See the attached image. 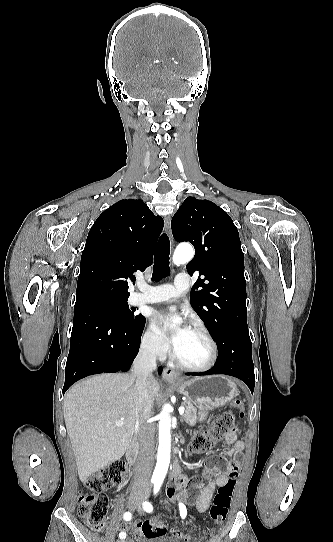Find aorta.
<instances>
[{"mask_svg":"<svg viewBox=\"0 0 333 542\" xmlns=\"http://www.w3.org/2000/svg\"><path fill=\"white\" fill-rule=\"evenodd\" d=\"M193 248L191 246H185V248H179V252H175L173 256V264L180 266V264H186L191 258H193ZM171 406L170 404H164L162 412L159 414V446L156 468L152 476V484L154 488H161L165 476L167 474L170 452H171Z\"/></svg>","mask_w":333,"mask_h":542,"instance_id":"762f6f07","label":"aorta"}]
</instances>
